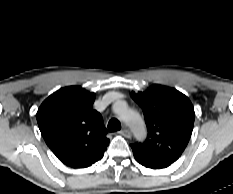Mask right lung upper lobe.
<instances>
[{
  "label": "right lung upper lobe",
  "instance_id": "cb5924a9",
  "mask_svg": "<svg viewBox=\"0 0 233 194\" xmlns=\"http://www.w3.org/2000/svg\"><path fill=\"white\" fill-rule=\"evenodd\" d=\"M95 94L80 86L61 88L37 112L41 134L56 157L72 168L100 160L109 139L100 113L92 108Z\"/></svg>",
  "mask_w": 233,
  "mask_h": 194
}]
</instances>
